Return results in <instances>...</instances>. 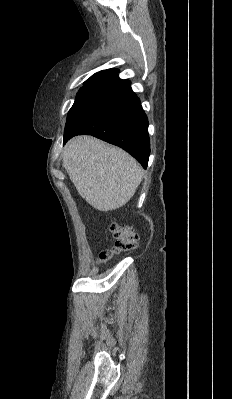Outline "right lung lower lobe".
I'll return each instance as SVG.
<instances>
[{"label": "right lung lower lobe", "mask_w": 232, "mask_h": 399, "mask_svg": "<svg viewBox=\"0 0 232 399\" xmlns=\"http://www.w3.org/2000/svg\"><path fill=\"white\" fill-rule=\"evenodd\" d=\"M130 85L114 76L77 96L67 116L63 144L76 135H92L121 147L146 168L148 120Z\"/></svg>", "instance_id": "obj_1"}]
</instances>
